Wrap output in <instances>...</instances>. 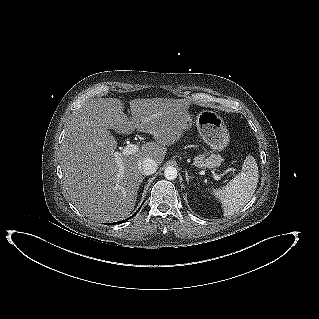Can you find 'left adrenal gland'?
<instances>
[{
  "instance_id": "1",
  "label": "left adrenal gland",
  "mask_w": 319,
  "mask_h": 319,
  "mask_svg": "<svg viewBox=\"0 0 319 319\" xmlns=\"http://www.w3.org/2000/svg\"><path fill=\"white\" fill-rule=\"evenodd\" d=\"M185 177H186L187 182H189V180L193 178V176L191 177L188 175L187 170H185Z\"/></svg>"
}]
</instances>
